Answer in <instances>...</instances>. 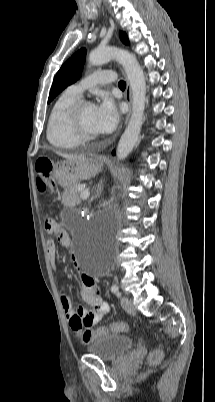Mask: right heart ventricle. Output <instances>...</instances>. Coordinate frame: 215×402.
Listing matches in <instances>:
<instances>
[{
	"label": "right heart ventricle",
	"mask_w": 215,
	"mask_h": 402,
	"mask_svg": "<svg viewBox=\"0 0 215 402\" xmlns=\"http://www.w3.org/2000/svg\"><path fill=\"white\" fill-rule=\"evenodd\" d=\"M81 96L67 89L55 100L48 117L46 135L49 143L58 149H73L80 141L72 134L68 125V113Z\"/></svg>",
	"instance_id": "right-heart-ventricle-1"
}]
</instances>
